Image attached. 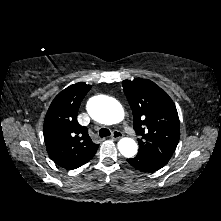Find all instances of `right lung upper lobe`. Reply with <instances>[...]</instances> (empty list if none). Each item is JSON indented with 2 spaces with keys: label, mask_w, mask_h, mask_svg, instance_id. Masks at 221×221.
<instances>
[{
  "label": "right lung upper lobe",
  "mask_w": 221,
  "mask_h": 221,
  "mask_svg": "<svg viewBox=\"0 0 221 221\" xmlns=\"http://www.w3.org/2000/svg\"><path fill=\"white\" fill-rule=\"evenodd\" d=\"M90 85L79 82L61 91L52 101L44 120V140L50 158L60 167L76 169L95 155L86 127L77 121L78 109Z\"/></svg>",
  "instance_id": "1"
}]
</instances>
